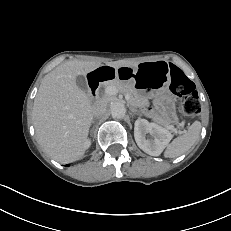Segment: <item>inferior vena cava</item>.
Instances as JSON below:
<instances>
[{
  "label": "inferior vena cava",
  "mask_w": 231,
  "mask_h": 231,
  "mask_svg": "<svg viewBox=\"0 0 231 231\" xmlns=\"http://www.w3.org/2000/svg\"><path fill=\"white\" fill-rule=\"evenodd\" d=\"M107 103L103 100H99L93 104L92 114L93 116H101L106 112Z\"/></svg>",
  "instance_id": "1"
}]
</instances>
